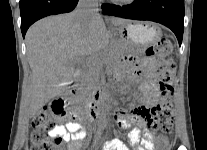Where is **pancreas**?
Here are the masks:
<instances>
[{
    "mask_svg": "<svg viewBox=\"0 0 207 150\" xmlns=\"http://www.w3.org/2000/svg\"><path fill=\"white\" fill-rule=\"evenodd\" d=\"M119 55V51L116 48H112L105 55L103 62L110 67L115 63ZM101 63L102 61L99 59V63L91 62L89 64V71L82 76V85L85 89H91L97 84L99 79V66Z\"/></svg>",
    "mask_w": 207,
    "mask_h": 150,
    "instance_id": "pancreas-1",
    "label": "pancreas"
}]
</instances>
